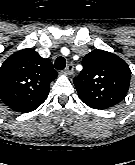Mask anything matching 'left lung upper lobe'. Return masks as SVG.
Segmentation results:
<instances>
[{"label": "left lung upper lobe", "instance_id": "obj_1", "mask_svg": "<svg viewBox=\"0 0 135 165\" xmlns=\"http://www.w3.org/2000/svg\"><path fill=\"white\" fill-rule=\"evenodd\" d=\"M130 75V68L123 59L96 49L84 56L83 70L73 81L80 99L86 105L107 109L125 98Z\"/></svg>", "mask_w": 135, "mask_h": 165}]
</instances>
